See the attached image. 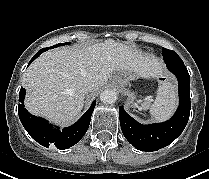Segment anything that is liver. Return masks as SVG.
Instances as JSON below:
<instances>
[{
    "label": "liver",
    "instance_id": "obj_1",
    "mask_svg": "<svg viewBox=\"0 0 209 179\" xmlns=\"http://www.w3.org/2000/svg\"><path fill=\"white\" fill-rule=\"evenodd\" d=\"M123 71H131L137 78L158 77L163 64L155 56L111 39L86 47L49 50L23 74L25 107L34 115L68 126L83 108V87L92 83L98 90L107 84L111 74L117 80Z\"/></svg>",
    "mask_w": 209,
    "mask_h": 179
}]
</instances>
